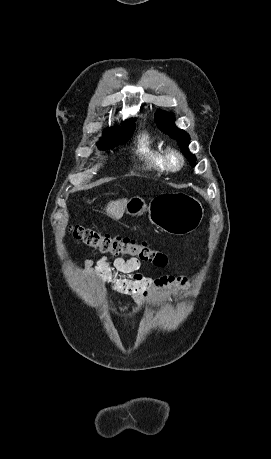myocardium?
I'll use <instances>...</instances> for the list:
<instances>
[{
  "mask_svg": "<svg viewBox=\"0 0 271 459\" xmlns=\"http://www.w3.org/2000/svg\"><path fill=\"white\" fill-rule=\"evenodd\" d=\"M163 157L167 169L171 172H179L185 166V155L176 146H170L165 148Z\"/></svg>",
  "mask_w": 271,
  "mask_h": 459,
  "instance_id": "1",
  "label": "myocardium"
}]
</instances>
